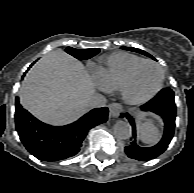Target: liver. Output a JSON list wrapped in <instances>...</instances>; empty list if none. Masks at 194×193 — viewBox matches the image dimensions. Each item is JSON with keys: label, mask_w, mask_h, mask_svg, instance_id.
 Masks as SVG:
<instances>
[{"label": "liver", "mask_w": 194, "mask_h": 193, "mask_svg": "<svg viewBox=\"0 0 194 193\" xmlns=\"http://www.w3.org/2000/svg\"><path fill=\"white\" fill-rule=\"evenodd\" d=\"M94 83L84 65L70 55L54 51L42 57L26 74L19 90L20 103L51 125L74 122L89 108Z\"/></svg>", "instance_id": "6515ba94"}]
</instances>
